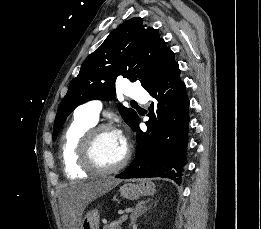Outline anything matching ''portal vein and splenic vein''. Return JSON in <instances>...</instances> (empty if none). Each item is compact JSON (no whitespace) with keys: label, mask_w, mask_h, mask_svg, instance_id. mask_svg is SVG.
<instances>
[{"label":"portal vein and splenic vein","mask_w":261,"mask_h":229,"mask_svg":"<svg viewBox=\"0 0 261 229\" xmlns=\"http://www.w3.org/2000/svg\"><path fill=\"white\" fill-rule=\"evenodd\" d=\"M123 217H125V218L122 219V222L127 223L128 222L127 215H123Z\"/></svg>","instance_id":"obj_1"}]
</instances>
